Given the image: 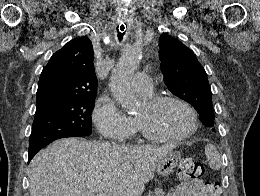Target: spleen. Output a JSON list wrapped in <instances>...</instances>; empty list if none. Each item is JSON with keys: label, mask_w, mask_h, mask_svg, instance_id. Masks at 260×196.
Wrapping results in <instances>:
<instances>
[{"label": "spleen", "mask_w": 260, "mask_h": 196, "mask_svg": "<svg viewBox=\"0 0 260 196\" xmlns=\"http://www.w3.org/2000/svg\"><path fill=\"white\" fill-rule=\"evenodd\" d=\"M205 154L211 170H220L222 162L217 148L213 144H207L205 146Z\"/></svg>", "instance_id": "spleen-1"}]
</instances>
